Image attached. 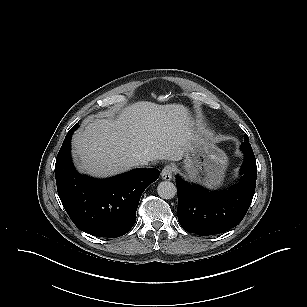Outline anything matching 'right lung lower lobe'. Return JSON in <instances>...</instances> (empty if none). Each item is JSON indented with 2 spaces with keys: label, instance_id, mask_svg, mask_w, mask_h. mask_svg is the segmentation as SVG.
Instances as JSON below:
<instances>
[{
  "label": "right lung lower lobe",
  "instance_id": "right-lung-lower-lobe-1",
  "mask_svg": "<svg viewBox=\"0 0 307 307\" xmlns=\"http://www.w3.org/2000/svg\"><path fill=\"white\" fill-rule=\"evenodd\" d=\"M66 135L56 158L58 195L73 223L97 237L115 238L127 233L136 222V210L144 190L159 177L155 168L135 169L109 179L80 175L71 162V136Z\"/></svg>",
  "mask_w": 307,
  "mask_h": 307
}]
</instances>
